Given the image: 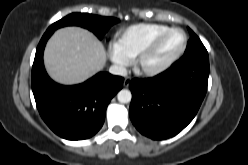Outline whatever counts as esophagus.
<instances>
[{
	"mask_svg": "<svg viewBox=\"0 0 248 165\" xmlns=\"http://www.w3.org/2000/svg\"><path fill=\"white\" fill-rule=\"evenodd\" d=\"M130 82H131V77H126L123 82L124 87H128Z\"/></svg>",
	"mask_w": 248,
	"mask_h": 165,
	"instance_id": "34e87169",
	"label": "esophagus"
}]
</instances>
